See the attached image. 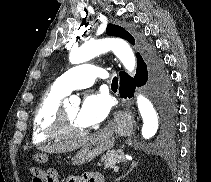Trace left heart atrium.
<instances>
[{"mask_svg":"<svg viewBox=\"0 0 211 182\" xmlns=\"http://www.w3.org/2000/svg\"><path fill=\"white\" fill-rule=\"evenodd\" d=\"M110 110V99L103 92L85 96L77 113V119L84 127H91L103 121Z\"/></svg>","mask_w":211,"mask_h":182,"instance_id":"obj_1","label":"left heart atrium"}]
</instances>
